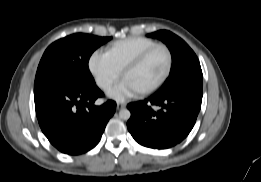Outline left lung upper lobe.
<instances>
[{"mask_svg": "<svg viewBox=\"0 0 261 182\" xmlns=\"http://www.w3.org/2000/svg\"><path fill=\"white\" fill-rule=\"evenodd\" d=\"M148 36L162 40L168 46L172 55L169 77L155 93L156 95H167L190 85L203 83L199 60L193 50L181 38L166 30L150 33Z\"/></svg>", "mask_w": 261, "mask_h": 182, "instance_id": "5c2ea615", "label": "left lung upper lobe"}]
</instances>
